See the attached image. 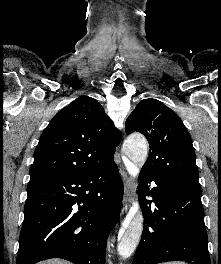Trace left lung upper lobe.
Segmentation results:
<instances>
[{
    "label": "left lung upper lobe",
    "instance_id": "obj_1",
    "mask_svg": "<svg viewBox=\"0 0 221 264\" xmlns=\"http://www.w3.org/2000/svg\"><path fill=\"white\" fill-rule=\"evenodd\" d=\"M125 131L140 132L149 141L142 171L201 190L190 134L174 111L157 99H144L127 118Z\"/></svg>",
    "mask_w": 221,
    "mask_h": 264
}]
</instances>
